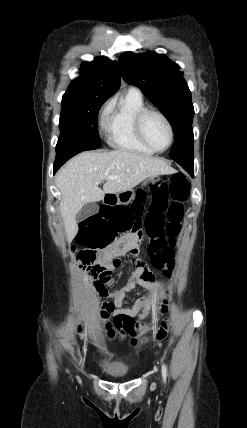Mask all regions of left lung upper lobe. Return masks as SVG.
I'll return each mask as SVG.
<instances>
[{"mask_svg": "<svg viewBox=\"0 0 247 428\" xmlns=\"http://www.w3.org/2000/svg\"><path fill=\"white\" fill-rule=\"evenodd\" d=\"M118 62L123 79L139 87L171 123L175 143L170 157L173 160L194 159V107L191 92L178 65L165 55L151 51L141 54L125 52Z\"/></svg>", "mask_w": 247, "mask_h": 428, "instance_id": "5c2ea615", "label": "left lung upper lobe"}]
</instances>
